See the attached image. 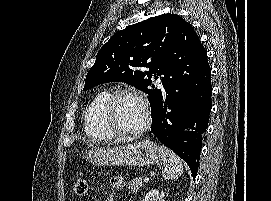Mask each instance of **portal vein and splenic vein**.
<instances>
[{
    "label": "portal vein and splenic vein",
    "instance_id": "1",
    "mask_svg": "<svg viewBox=\"0 0 271 201\" xmlns=\"http://www.w3.org/2000/svg\"><path fill=\"white\" fill-rule=\"evenodd\" d=\"M143 180H144V182H148L149 178L145 177Z\"/></svg>",
    "mask_w": 271,
    "mask_h": 201
}]
</instances>
